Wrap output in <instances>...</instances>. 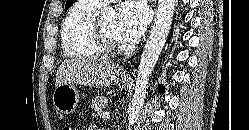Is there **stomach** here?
I'll list each match as a JSON object with an SVG mask.
<instances>
[{
    "instance_id": "0dacf381",
    "label": "stomach",
    "mask_w": 249,
    "mask_h": 130,
    "mask_svg": "<svg viewBox=\"0 0 249 130\" xmlns=\"http://www.w3.org/2000/svg\"><path fill=\"white\" fill-rule=\"evenodd\" d=\"M129 82L128 79L119 77L117 84L124 87ZM80 100L79 90L75 85L63 84L55 88L53 93L54 107L62 114L72 113Z\"/></svg>"
}]
</instances>
